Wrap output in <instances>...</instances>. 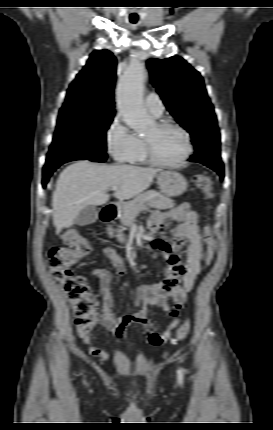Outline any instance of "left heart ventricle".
I'll list each match as a JSON object with an SVG mask.
<instances>
[{
    "mask_svg": "<svg viewBox=\"0 0 273 430\" xmlns=\"http://www.w3.org/2000/svg\"><path fill=\"white\" fill-rule=\"evenodd\" d=\"M153 146L156 156L166 162L178 160L185 152V138L173 128L157 129L153 125L145 135Z\"/></svg>",
    "mask_w": 273,
    "mask_h": 430,
    "instance_id": "b2bd125f",
    "label": "left heart ventricle"
}]
</instances>
